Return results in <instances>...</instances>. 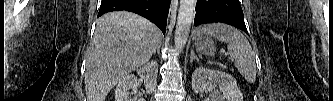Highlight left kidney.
<instances>
[{"label": "left kidney", "instance_id": "left-kidney-1", "mask_svg": "<svg viewBox=\"0 0 333 101\" xmlns=\"http://www.w3.org/2000/svg\"><path fill=\"white\" fill-rule=\"evenodd\" d=\"M218 86L222 96L217 101H243V95L237 86L236 79L228 73L198 67L192 74V89L200 94Z\"/></svg>", "mask_w": 333, "mask_h": 101}]
</instances>
